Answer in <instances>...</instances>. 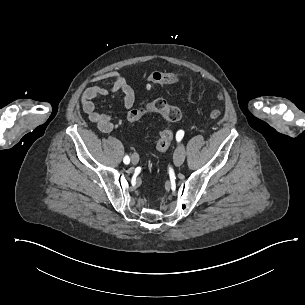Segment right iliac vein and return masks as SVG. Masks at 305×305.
Masks as SVG:
<instances>
[{"mask_svg": "<svg viewBox=\"0 0 305 305\" xmlns=\"http://www.w3.org/2000/svg\"><path fill=\"white\" fill-rule=\"evenodd\" d=\"M131 162L132 164L136 165L139 162V156L136 153H133L131 155Z\"/></svg>", "mask_w": 305, "mask_h": 305, "instance_id": "obj_1", "label": "right iliac vein"}]
</instances>
